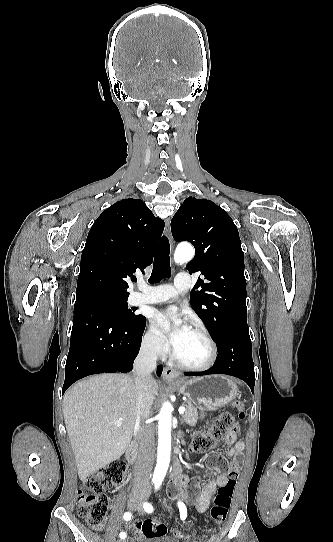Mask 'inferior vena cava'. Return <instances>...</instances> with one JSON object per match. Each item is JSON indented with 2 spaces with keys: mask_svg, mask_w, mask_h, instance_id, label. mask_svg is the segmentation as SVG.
I'll return each instance as SVG.
<instances>
[{
  "mask_svg": "<svg viewBox=\"0 0 333 542\" xmlns=\"http://www.w3.org/2000/svg\"><path fill=\"white\" fill-rule=\"evenodd\" d=\"M157 352L142 348L134 364L136 376L137 412L135 426L138 434V454L134 468L133 488H150V474L154 464L155 430L153 424H146L150 416L154 394L150 390L152 372L156 370Z\"/></svg>",
  "mask_w": 333,
  "mask_h": 542,
  "instance_id": "inferior-vena-cava-1",
  "label": "inferior vena cava"
}]
</instances>
